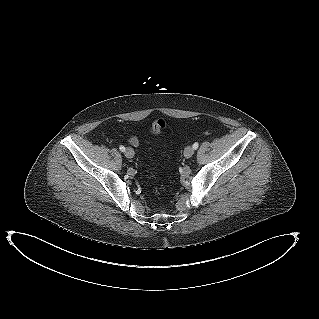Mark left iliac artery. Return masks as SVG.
<instances>
[{"label": "left iliac artery", "mask_w": 319, "mask_h": 319, "mask_svg": "<svg viewBox=\"0 0 319 319\" xmlns=\"http://www.w3.org/2000/svg\"><path fill=\"white\" fill-rule=\"evenodd\" d=\"M198 146H199V144H198V142H195L194 144H193V149H197L198 148Z\"/></svg>", "instance_id": "1"}]
</instances>
